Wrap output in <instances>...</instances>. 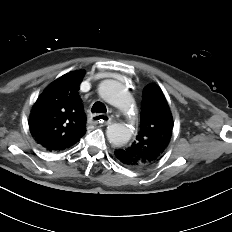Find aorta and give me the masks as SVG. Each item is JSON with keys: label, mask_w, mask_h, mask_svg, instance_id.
<instances>
[{"label": "aorta", "mask_w": 232, "mask_h": 232, "mask_svg": "<svg viewBox=\"0 0 232 232\" xmlns=\"http://www.w3.org/2000/svg\"><path fill=\"white\" fill-rule=\"evenodd\" d=\"M100 97L107 103L119 108L125 113L134 111L131 95L118 81L105 80L98 88ZM133 130L126 125L115 123L107 127L106 135L110 143L115 146L125 145L132 137Z\"/></svg>", "instance_id": "762f6f07"}]
</instances>
